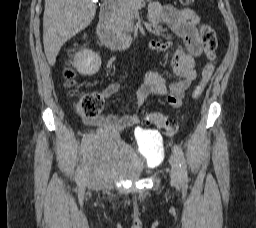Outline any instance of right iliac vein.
<instances>
[{"label": "right iliac vein", "instance_id": "right-iliac-vein-1", "mask_svg": "<svg viewBox=\"0 0 256 228\" xmlns=\"http://www.w3.org/2000/svg\"><path fill=\"white\" fill-rule=\"evenodd\" d=\"M85 147H89V144H85ZM91 151L89 150V148H86V150L84 151L83 157L86 158L84 160V168L82 170L81 173V180L82 183H86L89 181V171L87 167L91 166V157H90Z\"/></svg>", "mask_w": 256, "mask_h": 228}]
</instances>
